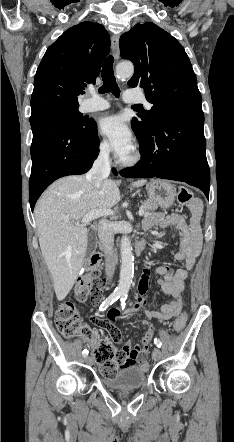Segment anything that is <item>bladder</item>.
I'll return each mask as SVG.
<instances>
[{
	"instance_id": "1",
	"label": "bladder",
	"mask_w": 234,
	"mask_h": 442,
	"mask_svg": "<svg viewBox=\"0 0 234 442\" xmlns=\"http://www.w3.org/2000/svg\"><path fill=\"white\" fill-rule=\"evenodd\" d=\"M147 370L137 365L123 366L115 375L103 377L102 383L111 390H132L145 385Z\"/></svg>"
}]
</instances>
